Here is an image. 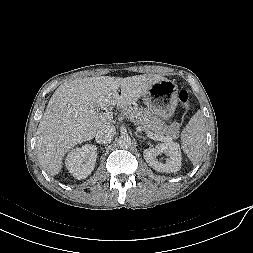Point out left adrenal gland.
Instances as JSON below:
<instances>
[{
	"label": "left adrenal gland",
	"instance_id": "1",
	"mask_svg": "<svg viewBox=\"0 0 253 253\" xmlns=\"http://www.w3.org/2000/svg\"><path fill=\"white\" fill-rule=\"evenodd\" d=\"M137 137L140 138V139H144V140L146 139V137H143V136H140V135H137Z\"/></svg>",
	"mask_w": 253,
	"mask_h": 253
}]
</instances>
